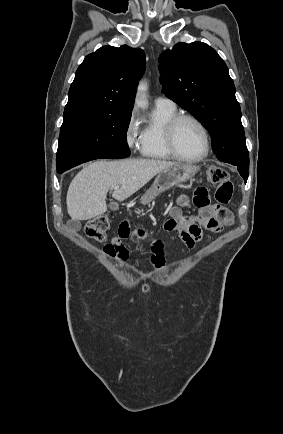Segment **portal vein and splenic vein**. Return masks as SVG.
Returning a JSON list of instances; mask_svg holds the SVG:
<instances>
[{
	"mask_svg": "<svg viewBox=\"0 0 283 434\" xmlns=\"http://www.w3.org/2000/svg\"><path fill=\"white\" fill-rule=\"evenodd\" d=\"M118 188V186H115V189H117Z\"/></svg>",
	"mask_w": 283,
	"mask_h": 434,
	"instance_id": "18ae733b",
	"label": "portal vein and splenic vein"
}]
</instances>
